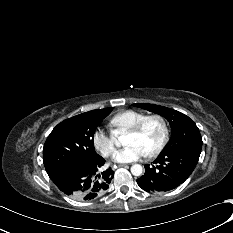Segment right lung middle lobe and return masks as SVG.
Listing matches in <instances>:
<instances>
[{"label":"right lung middle lobe","instance_id":"dd1d6c3e","mask_svg":"<svg viewBox=\"0 0 233 233\" xmlns=\"http://www.w3.org/2000/svg\"><path fill=\"white\" fill-rule=\"evenodd\" d=\"M113 110H92L58 124L43 147V163L51 180L72 164L90 162L99 157L93 143L97 126Z\"/></svg>","mask_w":233,"mask_h":233}]
</instances>
